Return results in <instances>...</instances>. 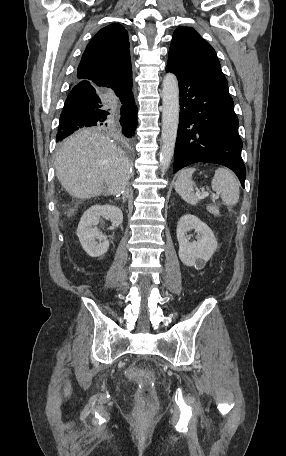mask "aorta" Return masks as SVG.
Returning <instances> with one entry per match:
<instances>
[{
    "label": "aorta",
    "mask_w": 286,
    "mask_h": 456,
    "mask_svg": "<svg viewBox=\"0 0 286 456\" xmlns=\"http://www.w3.org/2000/svg\"><path fill=\"white\" fill-rule=\"evenodd\" d=\"M162 146L160 150L161 171L168 169L174 154L179 123V85L172 73L164 76L162 83Z\"/></svg>",
    "instance_id": "obj_1"
}]
</instances>
